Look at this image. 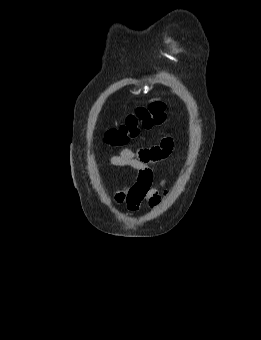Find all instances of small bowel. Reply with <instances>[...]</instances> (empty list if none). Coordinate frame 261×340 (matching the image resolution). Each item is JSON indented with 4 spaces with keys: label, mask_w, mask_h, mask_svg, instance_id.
<instances>
[{
    "label": "small bowel",
    "mask_w": 261,
    "mask_h": 340,
    "mask_svg": "<svg viewBox=\"0 0 261 340\" xmlns=\"http://www.w3.org/2000/svg\"><path fill=\"white\" fill-rule=\"evenodd\" d=\"M174 148L171 136L165 135L161 141L150 147L136 150L122 149L117 155L109 159L114 166L130 167L138 172L136 182L129 187H122L115 191L113 199L118 205H123L130 212H137L142 205L150 208L156 207L162 194L158 188L152 187L153 171L151 164L167 158ZM167 178L160 181V188H164Z\"/></svg>",
    "instance_id": "obj_1"
}]
</instances>
